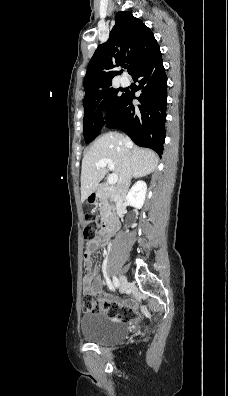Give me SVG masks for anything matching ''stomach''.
<instances>
[{
	"mask_svg": "<svg viewBox=\"0 0 228 396\" xmlns=\"http://www.w3.org/2000/svg\"><path fill=\"white\" fill-rule=\"evenodd\" d=\"M91 198V199H90ZM98 198V194L97 193H92L91 195H89L87 197V203H93L94 201H96Z\"/></svg>",
	"mask_w": 228,
	"mask_h": 396,
	"instance_id": "obj_1",
	"label": "stomach"
}]
</instances>
